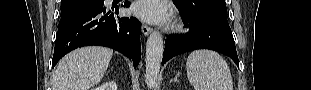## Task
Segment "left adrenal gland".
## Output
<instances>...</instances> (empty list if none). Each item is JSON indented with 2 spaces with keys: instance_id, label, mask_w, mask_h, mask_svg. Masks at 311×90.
Listing matches in <instances>:
<instances>
[{
  "instance_id": "left-adrenal-gland-1",
  "label": "left adrenal gland",
  "mask_w": 311,
  "mask_h": 90,
  "mask_svg": "<svg viewBox=\"0 0 311 90\" xmlns=\"http://www.w3.org/2000/svg\"><path fill=\"white\" fill-rule=\"evenodd\" d=\"M180 73H177L175 78H173L172 80H170V82H179L178 77H179Z\"/></svg>"
}]
</instances>
